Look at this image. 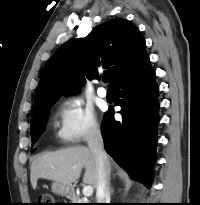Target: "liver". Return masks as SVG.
I'll return each instance as SVG.
<instances>
[{"label": "liver", "mask_w": 200, "mask_h": 205, "mask_svg": "<svg viewBox=\"0 0 200 205\" xmlns=\"http://www.w3.org/2000/svg\"><path fill=\"white\" fill-rule=\"evenodd\" d=\"M109 167L111 169V162ZM85 168L83 182L96 188L98 183L97 163L91 150L75 146L37 156L31 164L30 181L33 188L39 178L60 182L71 186L78 180Z\"/></svg>", "instance_id": "liver-1"}]
</instances>
